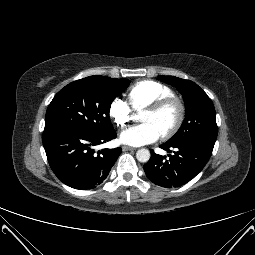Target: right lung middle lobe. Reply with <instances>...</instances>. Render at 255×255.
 <instances>
[{
    "label": "right lung middle lobe",
    "mask_w": 255,
    "mask_h": 255,
    "mask_svg": "<svg viewBox=\"0 0 255 255\" xmlns=\"http://www.w3.org/2000/svg\"><path fill=\"white\" fill-rule=\"evenodd\" d=\"M128 84L127 79L89 76L66 85L48 106L44 131L78 129L94 135L113 131L110 106Z\"/></svg>",
    "instance_id": "right-lung-middle-lobe-1"
}]
</instances>
